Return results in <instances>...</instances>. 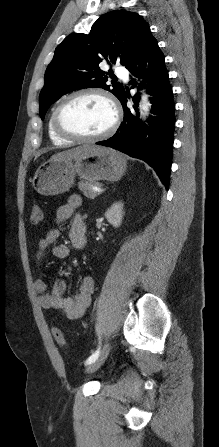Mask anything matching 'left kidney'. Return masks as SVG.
Listing matches in <instances>:
<instances>
[{
	"mask_svg": "<svg viewBox=\"0 0 219 447\" xmlns=\"http://www.w3.org/2000/svg\"><path fill=\"white\" fill-rule=\"evenodd\" d=\"M105 218L115 228L119 227L123 218V203H114L106 212Z\"/></svg>",
	"mask_w": 219,
	"mask_h": 447,
	"instance_id": "obj_1",
	"label": "left kidney"
}]
</instances>
